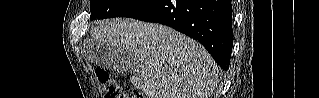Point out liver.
Here are the masks:
<instances>
[{
	"mask_svg": "<svg viewBox=\"0 0 319 98\" xmlns=\"http://www.w3.org/2000/svg\"><path fill=\"white\" fill-rule=\"evenodd\" d=\"M90 35L136 58L130 82L147 98H211L219 82V67L205 48L167 26L115 18Z\"/></svg>",
	"mask_w": 319,
	"mask_h": 98,
	"instance_id": "6515ba94",
	"label": "liver"
}]
</instances>
